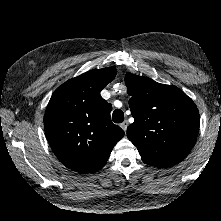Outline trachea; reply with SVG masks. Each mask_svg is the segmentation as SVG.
I'll return each mask as SVG.
<instances>
[{
  "instance_id": "1",
  "label": "trachea",
  "mask_w": 221,
  "mask_h": 221,
  "mask_svg": "<svg viewBox=\"0 0 221 221\" xmlns=\"http://www.w3.org/2000/svg\"><path fill=\"white\" fill-rule=\"evenodd\" d=\"M112 120L114 123H122L124 121V113L120 109H116L112 114Z\"/></svg>"
}]
</instances>
